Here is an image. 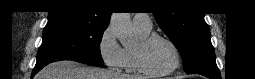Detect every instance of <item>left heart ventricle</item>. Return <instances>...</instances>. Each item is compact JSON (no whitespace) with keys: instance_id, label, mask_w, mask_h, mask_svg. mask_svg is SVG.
<instances>
[{"instance_id":"b2bd125f","label":"left heart ventricle","mask_w":255,"mask_h":79,"mask_svg":"<svg viewBox=\"0 0 255 79\" xmlns=\"http://www.w3.org/2000/svg\"><path fill=\"white\" fill-rule=\"evenodd\" d=\"M146 63L154 71L167 70L174 62V54L168 43L161 39L153 41L145 52Z\"/></svg>"}]
</instances>
